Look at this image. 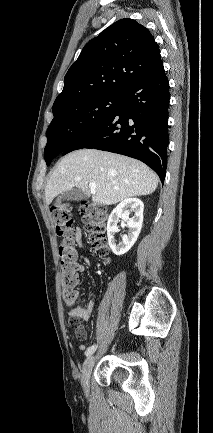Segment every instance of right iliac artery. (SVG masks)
<instances>
[{
    "label": "right iliac artery",
    "instance_id": "82829eb1",
    "mask_svg": "<svg viewBox=\"0 0 213 433\" xmlns=\"http://www.w3.org/2000/svg\"><path fill=\"white\" fill-rule=\"evenodd\" d=\"M97 345H92L89 348H87V350L85 351V355L86 356H90L91 354L94 353V351L96 350Z\"/></svg>",
    "mask_w": 213,
    "mask_h": 433
}]
</instances>
